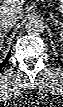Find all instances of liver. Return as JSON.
<instances>
[{
  "mask_svg": "<svg viewBox=\"0 0 63 107\" xmlns=\"http://www.w3.org/2000/svg\"><path fill=\"white\" fill-rule=\"evenodd\" d=\"M24 3H25L24 0H1L0 14L2 12L11 13V14L17 15L18 18H21L23 16Z\"/></svg>",
  "mask_w": 63,
  "mask_h": 107,
  "instance_id": "6515ba94",
  "label": "liver"
}]
</instances>
